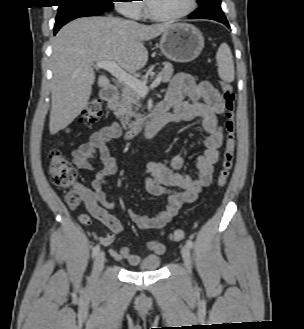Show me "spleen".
I'll list each match as a JSON object with an SVG mask.
<instances>
[{
    "label": "spleen",
    "mask_w": 304,
    "mask_h": 329,
    "mask_svg": "<svg viewBox=\"0 0 304 329\" xmlns=\"http://www.w3.org/2000/svg\"><path fill=\"white\" fill-rule=\"evenodd\" d=\"M216 60L220 78L228 83L233 82L235 78L233 56L226 43H222L218 48Z\"/></svg>",
    "instance_id": "1"
}]
</instances>
